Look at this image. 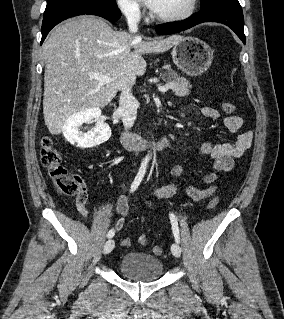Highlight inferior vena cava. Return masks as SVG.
<instances>
[{"instance_id":"602c4592","label":"inferior vena cava","mask_w":284,"mask_h":319,"mask_svg":"<svg viewBox=\"0 0 284 319\" xmlns=\"http://www.w3.org/2000/svg\"><path fill=\"white\" fill-rule=\"evenodd\" d=\"M139 16L136 10L131 9L127 12V22L129 31L136 33L138 31ZM138 101L131 92V87H125L122 89L118 112L123 118V125L125 129H130L137 117Z\"/></svg>"}]
</instances>
